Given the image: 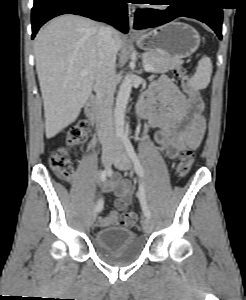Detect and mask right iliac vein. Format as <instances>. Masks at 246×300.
Wrapping results in <instances>:
<instances>
[{
    "instance_id": "obj_1",
    "label": "right iliac vein",
    "mask_w": 246,
    "mask_h": 300,
    "mask_svg": "<svg viewBox=\"0 0 246 300\" xmlns=\"http://www.w3.org/2000/svg\"><path fill=\"white\" fill-rule=\"evenodd\" d=\"M115 158V153L113 152H104L102 154V163L105 167H108L111 162L114 160ZM96 218V211H92L89 215V224L91 225L94 220Z\"/></svg>"
}]
</instances>
